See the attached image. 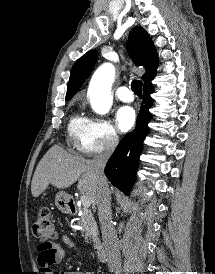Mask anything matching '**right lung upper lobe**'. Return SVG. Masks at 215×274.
<instances>
[{
	"label": "right lung upper lobe",
	"instance_id": "right-lung-upper-lobe-1",
	"mask_svg": "<svg viewBox=\"0 0 215 274\" xmlns=\"http://www.w3.org/2000/svg\"><path fill=\"white\" fill-rule=\"evenodd\" d=\"M128 49L134 63L138 66H143L146 69V73L142 76L144 85L151 84V81L156 74L158 58L155 46L150 36L142 27H135L131 31L129 35ZM97 55L98 53L96 50H91L85 53L74 64L68 83L66 100L71 98L81 87L82 83L91 72L97 60Z\"/></svg>",
	"mask_w": 215,
	"mask_h": 274
}]
</instances>
